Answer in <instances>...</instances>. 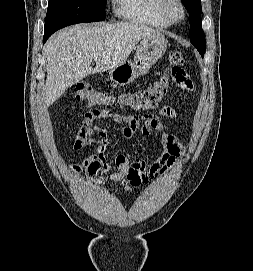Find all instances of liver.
I'll return each mask as SVG.
<instances>
[{"instance_id": "1", "label": "liver", "mask_w": 253, "mask_h": 271, "mask_svg": "<svg viewBox=\"0 0 253 271\" xmlns=\"http://www.w3.org/2000/svg\"><path fill=\"white\" fill-rule=\"evenodd\" d=\"M158 31L133 22L79 24L64 28L46 42L45 106L49 107L87 75L125 62L136 44ZM92 60L96 67H91Z\"/></svg>"}]
</instances>
